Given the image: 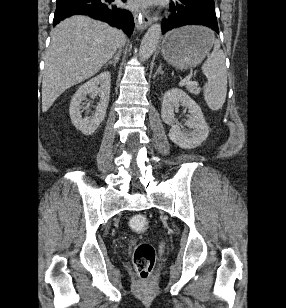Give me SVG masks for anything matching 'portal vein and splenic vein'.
<instances>
[{
  "label": "portal vein and splenic vein",
  "instance_id": "1",
  "mask_svg": "<svg viewBox=\"0 0 286 308\" xmlns=\"http://www.w3.org/2000/svg\"><path fill=\"white\" fill-rule=\"evenodd\" d=\"M189 86V85H195L197 86V84L193 83L191 81V75H188L187 77H185L181 82H180V86Z\"/></svg>",
  "mask_w": 286,
  "mask_h": 308
}]
</instances>
